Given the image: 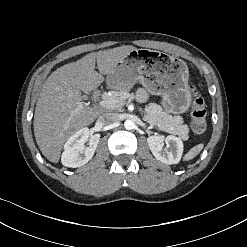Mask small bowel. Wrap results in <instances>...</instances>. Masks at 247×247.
Instances as JSON below:
<instances>
[{
    "label": "small bowel",
    "instance_id": "small-bowel-1",
    "mask_svg": "<svg viewBox=\"0 0 247 247\" xmlns=\"http://www.w3.org/2000/svg\"><path fill=\"white\" fill-rule=\"evenodd\" d=\"M137 98L139 101H144L146 99V93L143 90H139L137 93Z\"/></svg>",
    "mask_w": 247,
    "mask_h": 247
}]
</instances>
